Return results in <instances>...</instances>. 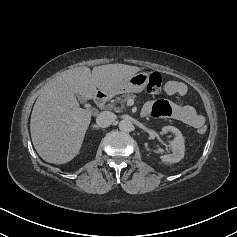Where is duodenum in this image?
<instances>
[{
    "label": "duodenum",
    "mask_w": 237,
    "mask_h": 237,
    "mask_svg": "<svg viewBox=\"0 0 237 237\" xmlns=\"http://www.w3.org/2000/svg\"><path fill=\"white\" fill-rule=\"evenodd\" d=\"M107 97L102 92H97L94 97V101L98 107H103L106 103Z\"/></svg>",
    "instance_id": "obj_1"
}]
</instances>
